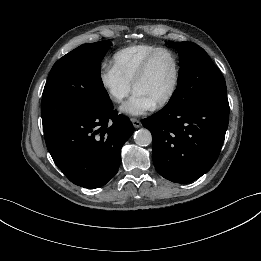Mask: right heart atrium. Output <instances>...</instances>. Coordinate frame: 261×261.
<instances>
[{"label":"right heart atrium","instance_id":"1","mask_svg":"<svg viewBox=\"0 0 261 261\" xmlns=\"http://www.w3.org/2000/svg\"><path fill=\"white\" fill-rule=\"evenodd\" d=\"M98 77L102 89L114 103H121L131 92V83L110 66H103Z\"/></svg>","mask_w":261,"mask_h":261}]
</instances>
